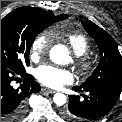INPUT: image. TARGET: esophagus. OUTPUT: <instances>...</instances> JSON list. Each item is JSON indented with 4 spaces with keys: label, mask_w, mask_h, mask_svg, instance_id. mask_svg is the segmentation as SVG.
<instances>
[{
    "label": "esophagus",
    "mask_w": 122,
    "mask_h": 122,
    "mask_svg": "<svg viewBox=\"0 0 122 122\" xmlns=\"http://www.w3.org/2000/svg\"><path fill=\"white\" fill-rule=\"evenodd\" d=\"M41 90L42 92L51 93V94L56 92L55 90H52L46 87H42Z\"/></svg>",
    "instance_id": "esophagus-1"
}]
</instances>
